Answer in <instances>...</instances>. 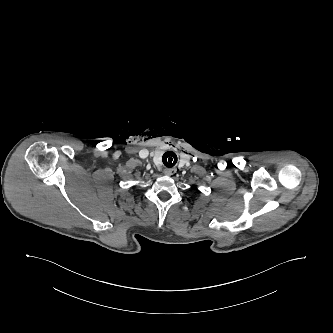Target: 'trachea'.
Returning a JSON list of instances; mask_svg holds the SVG:
<instances>
[{"instance_id": "obj_1", "label": "trachea", "mask_w": 333, "mask_h": 333, "mask_svg": "<svg viewBox=\"0 0 333 333\" xmlns=\"http://www.w3.org/2000/svg\"><path fill=\"white\" fill-rule=\"evenodd\" d=\"M163 163L166 167H173L177 163V155L172 151L164 153Z\"/></svg>"}]
</instances>
